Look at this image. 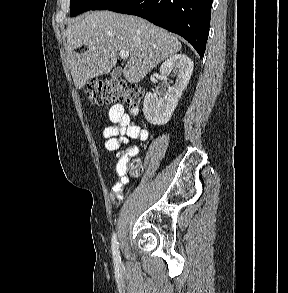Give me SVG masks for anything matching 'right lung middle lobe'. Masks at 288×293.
I'll return each mask as SVG.
<instances>
[{"mask_svg": "<svg viewBox=\"0 0 288 293\" xmlns=\"http://www.w3.org/2000/svg\"><path fill=\"white\" fill-rule=\"evenodd\" d=\"M121 0H70V15L75 16L88 10H105Z\"/></svg>", "mask_w": 288, "mask_h": 293, "instance_id": "1", "label": "right lung middle lobe"}]
</instances>
